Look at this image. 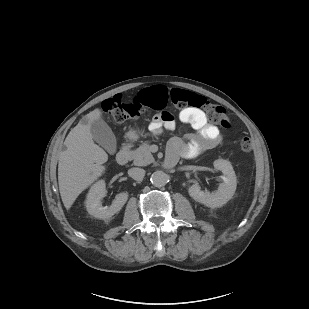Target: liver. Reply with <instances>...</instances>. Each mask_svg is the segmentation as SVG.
Returning a JSON list of instances; mask_svg holds the SVG:
<instances>
[{
    "instance_id": "1",
    "label": "liver",
    "mask_w": 309,
    "mask_h": 309,
    "mask_svg": "<svg viewBox=\"0 0 309 309\" xmlns=\"http://www.w3.org/2000/svg\"><path fill=\"white\" fill-rule=\"evenodd\" d=\"M102 112L94 109L67 135L66 150L59 155L58 183L62 202L68 210L76 198L104 172L107 153L94 143L91 123L100 119Z\"/></svg>"
}]
</instances>
